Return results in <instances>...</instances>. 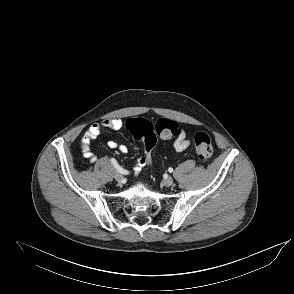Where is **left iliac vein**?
I'll use <instances>...</instances> for the list:
<instances>
[{"mask_svg": "<svg viewBox=\"0 0 294 294\" xmlns=\"http://www.w3.org/2000/svg\"><path fill=\"white\" fill-rule=\"evenodd\" d=\"M173 178L172 177H167L163 180V185L166 187H169L173 184Z\"/></svg>", "mask_w": 294, "mask_h": 294, "instance_id": "obj_1", "label": "left iliac vein"}]
</instances>
